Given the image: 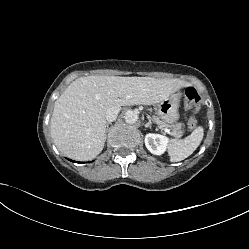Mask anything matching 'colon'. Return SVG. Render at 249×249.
Listing matches in <instances>:
<instances>
[{
  "instance_id": "1",
  "label": "colon",
  "mask_w": 249,
  "mask_h": 249,
  "mask_svg": "<svg viewBox=\"0 0 249 249\" xmlns=\"http://www.w3.org/2000/svg\"><path fill=\"white\" fill-rule=\"evenodd\" d=\"M185 108L191 113L188 127L189 129H194L197 124L196 114L200 108V96L192 87L185 90Z\"/></svg>"
}]
</instances>
